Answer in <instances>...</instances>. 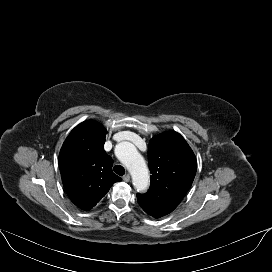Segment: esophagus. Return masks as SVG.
I'll list each match as a JSON object with an SVG mask.
<instances>
[{
    "mask_svg": "<svg viewBox=\"0 0 272 272\" xmlns=\"http://www.w3.org/2000/svg\"><path fill=\"white\" fill-rule=\"evenodd\" d=\"M123 181L129 182L130 181V175L129 174L124 175L123 176Z\"/></svg>",
    "mask_w": 272,
    "mask_h": 272,
    "instance_id": "34e87169",
    "label": "esophagus"
}]
</instances>
